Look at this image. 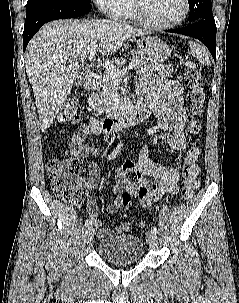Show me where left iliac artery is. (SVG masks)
I'll list each match as a JSON object with an SVG mask.
<instances>
[{"mask_svg": "<svg viewBox=\"0 0 239 303\" xmlns=\"http://www.w3.org/2000/svg\"><path fill=\"white\" fill-rule=\"evenodd\" d=\"M151 232L157 234L158 233L157 227H152L151 228Z\"/></svg>", "mask_w": 239, "mask_h": 303, "instance_id": "obj_1", "label": "left iliac artery"}]
</instances>
